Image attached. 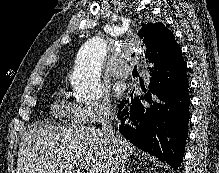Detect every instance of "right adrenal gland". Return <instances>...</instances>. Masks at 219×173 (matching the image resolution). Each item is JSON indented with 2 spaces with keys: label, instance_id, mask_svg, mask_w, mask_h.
<instances>
[{
  "label": "right adrenal gland",
  "instance_id": "right-adrenal-gland-1",
  "mask_svg": "<svg viewBox=\"0 0 219 173\" xmlns=\"http://www.w3.org/2000/svg\"><path fill=\"white\" fill-rule=\"evenodd\" d=\"M119 170H120V173H129L128 166L126 165H122Z\"/></svg>",
  "mask_w": 219,
  "mask_h": 173
}]
</instances>
